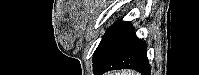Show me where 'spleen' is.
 Here are the masks:
<instances>
[{"label":"spleen","mask_w":199,"mask_h":75,"mask_svg":"<svg viewBox=\"0 0 199 75\" xmlns=\"http://www.w3.org/2000/svg\"><path fill=\"white\" fill-rule=\"evenodd\" d=\"M128 73H125L124 75H127ZM128 75H134V73H129Z\"/></svg>","instance_id":"spleen-1"}]
</instances>
